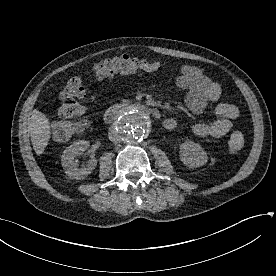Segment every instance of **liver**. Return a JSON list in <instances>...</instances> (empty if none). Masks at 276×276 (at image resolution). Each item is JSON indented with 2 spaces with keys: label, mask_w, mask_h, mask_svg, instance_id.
<instances>
[{
  "label": "liver",
  "mask_w": 276,
  "mask_h": 276,
  "mask_svg": "<svg viewBox=\"0 0 276 276\" xmlns=\"http://www.w3.org/2000/svg\"><path fill=\"white\" fill-rule=\"evenodd\" d=\"M33 149L41 155L46 149L50 139V122L45 114L34 109L28 122Z\"/></svg>",
  "instance_id": "obj_1"
}]
</instances>
